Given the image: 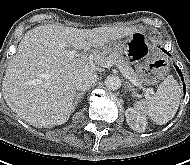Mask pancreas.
Returning a JSON list of instances; mask_svg holds the SVG:
<instances>
[{
    "label": "pancreas",
    "instance_id": "pancreas-1",
    "mask_svg": "<svg viewBox=\"0 0 190 165\" xmlns=\"http://www.w3.org/2000/svg\"><path fill=\"white\" fill-rule=\"evenodd\" d=\"M101 64L104 65L107 62H114L126 72H128L133 78L138 80L137 73L132 69V67L125 61V59L117 52H112L108 56L102 55L100 60Z\"/></svg>",
    "mask_w": 190,
    "mask_h": 165
}]
</instances>
